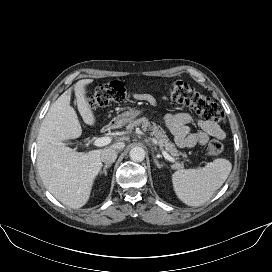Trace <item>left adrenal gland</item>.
Instances as JSON below:
<instances>
[{
    "instance_id": "1",
    "label": "left adrenal gland",
    "mask_w": 272,
    "mask_h": 272,
    "mask_svg": "<svg viewBox=\"0 0 272 272\" xmlns=\"http://www.w3.org/2000/svg\"><path fill=\"white\" fill-rule=\"evenodd\" d=\"M153 160H154V163L155 165L158 167V168H162L163 165H161L158 160L156 159V157L153 155Z\"/></svg>"
}]
</instances>
